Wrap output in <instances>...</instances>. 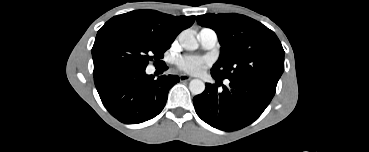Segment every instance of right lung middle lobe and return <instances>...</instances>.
Instances as JSON below:
<instances>
[{
    "label": "right lung middle lobe",
    "instance_id": "dd1d6c3e",
    "mask_svg": "<svg viewBox=\"0 0 369 152\" xmlns=\"http://www.w3.org/2000/svg\"><path fill=\"white\" fill-rule=\"evenodd\" d=\"M170 46L132 25L109 20L98 31L92 48L93 75L120 66L146 68L149 61L163 58Z\"/></svg>",
    "mask_w": 369,
    "mask_h": 152
}]
</instances>
